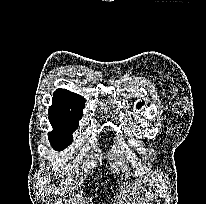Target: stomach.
<instances>
[{
  "label": "stomach",
  "instance_id": "stomach-1",
  "mask_svg": "<svg viewBox=\"0 0 206 204\" xmlns=\"http://www.w3.org/2000/svg\"><path fill=\"white\" fill-rule=\"evenodd\" d=\"M149 190L151 191V186L149 187Z\"/></svg>",
  "mask_w": 206,
  "mask_h": 204
}]
</instances>
